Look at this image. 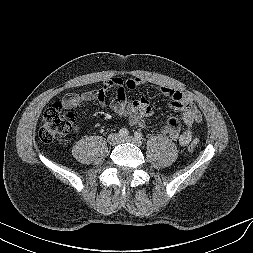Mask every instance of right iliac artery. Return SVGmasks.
Instances as JSON below:
<instances>
[{
    "mask_svg": "<svg viewBox=\"0 0 253 253\" xmlns=\"http://www.w3.org/2000/svg\"><path fill=\"white\" fill-rule=\"evenodd\" d=\"M129 134V131L126 129V128H122V129H120V131H119V135L121 136V137H125V136H127Z\"/></svg>",
    "mask_w": 253,
    "mask_h": 253,
    "instance_id": "82829eb1",
    "label": "right iliac artery"
}]
</instances>
